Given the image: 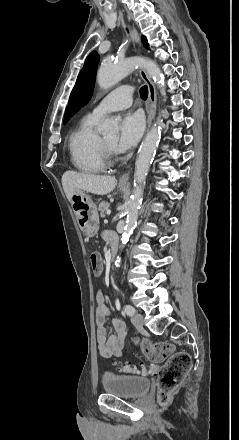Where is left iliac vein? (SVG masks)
Segmentation results:
<instances>
[{"instance_id":"4c4485c4","label":"left iliac vein","mask_w":239,"mask_h":440,"mask_svg":"<svg viewBox=\"0 0 239 440\" xmlns=\"http://www.w3.org/2000/svg\"><path fill=\"white\" fill-rule=\"evenodd\" d=\"M131 321L132 324L137 328V329H141L143 328V324H144V320H143V316L139 313L134 314L131 317Z\"/></svg>"}]
</instances>
